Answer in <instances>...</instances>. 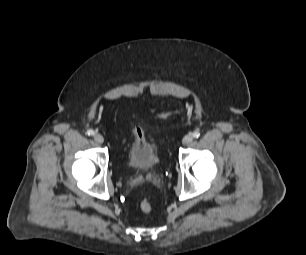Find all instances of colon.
<instances>
[{
  "label": "colon",
  "instance_id": "1",
  "mask_svg": "<svg viewBox=\"0 0 306 255\" xmlns=\"http://www.w3.org/2000/svg\"><path fill=\"white\" fill-rule=\"evenodd\" d=\"M170 114H171L170 112H160V113H155L154 116L159 119H165ZM140 208L144 213H150L153 209L152 204L147 199H143L141 201Z\"/></svg>",
  "mask_w": 306,
  "mask_h": 255
}]
</instances>
